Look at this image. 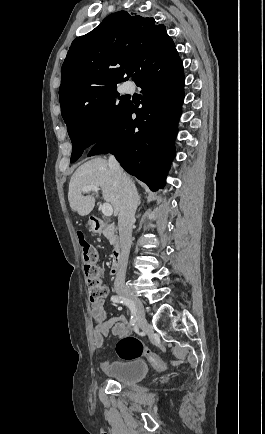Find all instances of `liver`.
Returning <instances> with one entry per match:
<instances>
[{"label": "liver", "mask_w": 265, "mask_h": 434, "mask_svg": "<svg viewBox=\"0 0 265 434\" xmlns=\"http://www.w3.org/2000/svg\"><path fill=\"white\" fill-rule=\"evenodd\" d=\"M85 186H99L104 200L113 206L114 216H118L120 212L119 186L107 160L95 158V160L82 164L74 172L69 184L68 200L71 210L78 212L79 216H88L95 206L94 196H82V188Z\"/></svg>", "instance_id": "obj_1"}]
</instances>
